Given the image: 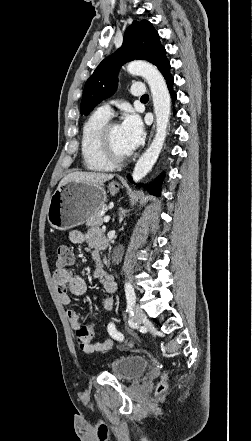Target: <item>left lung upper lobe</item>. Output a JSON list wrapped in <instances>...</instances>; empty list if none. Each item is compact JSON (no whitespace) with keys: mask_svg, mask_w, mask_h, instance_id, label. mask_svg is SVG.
<instances>
[{"mask_svg":"<svg viewBox=\"0 0 252 441\" xmlns=\"http://www.w3.org/2000/svg\"><path fill=\"white\" fill-rule=\"evenodd\" d=\"M159 35L147 20L133 21L125 32L122 46L106 57L87 80L80 112L88 115L102 100L111 96L117 88V73L121 65L135 59L147 60L157 65L164 51Z\"/></svg>","mask_w":252,"mask_h":441,"instance_id":"left-lung-upper-lobe-1","label":"left lung upper lobe"}]
</instances>
